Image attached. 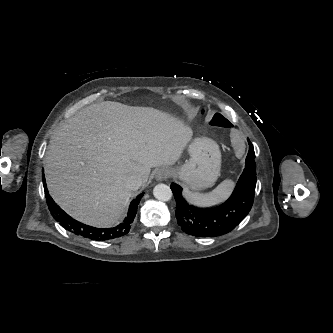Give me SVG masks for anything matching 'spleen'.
Masks as SVG:
<instances>
[{
  "mask_svg": "<svg viewBox=\"0 0 333 333\" xmlns=\"http://www.w3.org/2000/svg\"><path fill=\"white\" fill-rule=\"evenodd\" d=\"M234 187L232 180H224L214 190L209 193L191 192L184 189V196L188 202L196 206H213L226 200L231 194Z\"/></svg>",
  "mask_w": 333,
  "mask_h": 333,
  "instance_id": "spleen-1",
  "label": "spleen"
}]
</instances>
